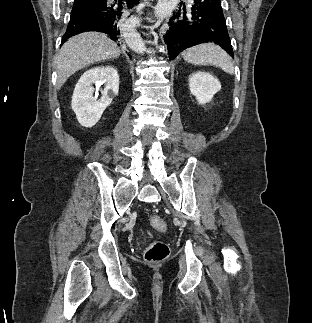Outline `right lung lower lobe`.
<instances>
[{"label":"right lung lower lobe","instance_id":"obj_1","mask_svg":"<svg viewBox=\"0 0 312 323\" xmlns=\"http://www.w3.org/2000/svg\"><path fill=\"white\" fill-rule=\"evenodd\" d=\"M107 1L75 0L70 22L62 38V44L67 38L85 31L106 33L112 40L119 41L127 12L137 5L139 0Z\"/></svg>","mask_w":312,"mask_h":323}]
</instances>
